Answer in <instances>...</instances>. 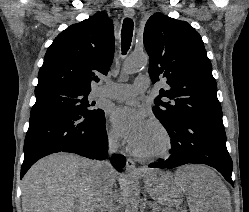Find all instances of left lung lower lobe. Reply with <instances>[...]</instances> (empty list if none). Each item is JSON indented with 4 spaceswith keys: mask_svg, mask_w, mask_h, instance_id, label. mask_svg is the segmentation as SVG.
<instances>
[{
    "mask_svg": "<svg viewBox=\"0 0 249 212\" xmlns=\"http://www.w3.org/2000/svg\"><path fill=\"white\" fill-rule=\"evenodd\" d=\"M171 137V156L150 167L173 168L187 163L206 164L218 170L232 184V160L226 148V134L220 116H183L163 124Z\"/></svg>",
    "mask_w": 249,
    "mask_h": 212,
    "instance_id": "0a47b994",
    "label": "left lung lower lobe"
}]
</instances>
